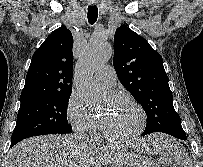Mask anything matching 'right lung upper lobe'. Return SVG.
Segmentation results:
<instances>
[{
    "mask_svg": "<svg viewBox=\"0 0 203 167\" xmlns=\"http://www.w3.org/2000/svg\"><path fill=\"white\" fill-rule=\"evenodd\" d=\"M73 36L65 26L54 30L35 51L20 101L72 92Z\"/></svg>",
    "mask_w": 203,
    "mask_h": 167,
    "instance_id": "obj_1",
    "label": "right lung upper lobe"
}]
</instances>
